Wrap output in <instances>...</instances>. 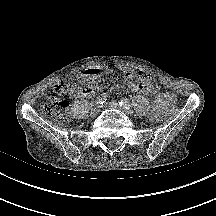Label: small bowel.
I'll return each instance as SVG.
<instances>
[{
    "label": "small bowel",
    "mask_w": 216,
    "mask_h": 216,
    "mask_svg": "<svg viewBox=\"0 0 216 216\" xmlns=\"http://www.w3.org/2000/svg\"><path fill=\"white\" fill-rule=\"evenodd\" d=\"M127 78L132 79L135 76L133 70L125 72ZM129 87L134 92L146 93L155 97L151 110V118L158 121L165 113L166 107L170 104L171 93H161L159 86L148 74L141 73L138 77V82L129 81ZM99 86H89L85 88L78 87V90L73 94L74 97H90L93 96L98 90Z\"/></svg>",
    "instance_id": "obj_1"
}]
</instances>
